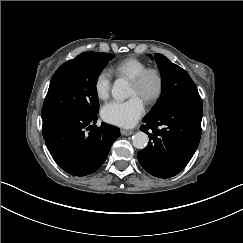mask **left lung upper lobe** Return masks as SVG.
<instances>
[{
	"mask_svg": "<svg viewBox=\"0 0 243 243\" xmlns=\"http://www.w3.org/2000/svg\"><path fill=\"white\" fill-rule=\"evenodd\" d=\"M155 60L162 76V94L154 108L145 116V120L156 118L179 100L201 99L195 83L184 69L159 53L155 54Z\"/></svg>",
	"mask_w": 243,
	"mask_h": 243,
	"instance_id": "1",
	"label": "left lung upper lobe"
}]
</instances>
